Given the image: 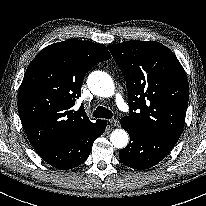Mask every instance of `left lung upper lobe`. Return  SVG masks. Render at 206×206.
<instances>
[{
	"label": "left lung upper lobe",
	"instance_id": "left-lung-upper-lobe-1",
	"mask_svg": "<svg viewBox=\"0 0 206 206\" xmlns=\"http://www.w3.org/2000/svg\"><path fill=\"white\" fill-rule=\"evenodd\" d=\"M108 48L127 85L130 113L122 120L138 130L178 140L189 87L177 57L155 41L131 40Z\"/></svg>",
	"mask_w": 206,
	"mask_h": 206
}]
</instances>
